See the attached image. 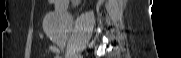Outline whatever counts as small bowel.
I'll return each instance as SVG.
<instances>
[{"label":"small bowel","instance_id":"c3829d8e","mask_svg":"<svg viewBox=\"0 0 181 58\" xmlns=\"http://www.w3.org/2000/svg\"><path fill=\"white\" fill-rule=\"evenodd\" d=\"M47 53H52L55 54L56 57L55 58H59V54H60V50L56 45H51L47 50Z\"/></svg>","mask_w":181,"mask_h":58}]
</instances>
